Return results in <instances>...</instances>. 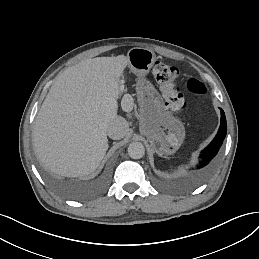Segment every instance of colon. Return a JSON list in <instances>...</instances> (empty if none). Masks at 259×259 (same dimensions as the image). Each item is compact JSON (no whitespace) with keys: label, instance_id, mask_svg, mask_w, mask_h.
I'll return each instance as SVG.
<instances>
[{"label":"colon","instance_id":"5ec220e1","mask_svg":"<svg viewBox=\"0 0 259 259\" xmlns=\"http://www.w3.org/2000/svg\"><path fill=\"white\" fill-rule=\"evenodd\" d=\"M152 75L159 86L165 105L172 114H179L187 107V102L177 84L178 69L168 63L156 62L152 67ZM186 91L195 96H204L207 92L203 82L190 78L185 84Z\"/></svg>","mask_w":259,"mask_h":259}]
</instances>
